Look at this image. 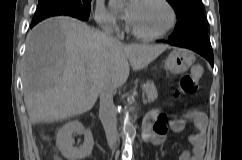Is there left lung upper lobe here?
I'll use <instances>...</instances> for the list:
<instances>
[{"mask_svg":"<svg viewBox=\"0 0 242 160\" xmlns=\"http://www.w3.org/2000/svg\"><path fill=\"white\" fill-rule=\"evenodd\" d=\"M167 1L174 8L177 16V25L171 38L181 39L208 33L201 0Z\"/></svg>","mask_w":242,"mask_h":160,"instance_id":"obj_1","label":"left lung upper lobe"}]
</instances>
